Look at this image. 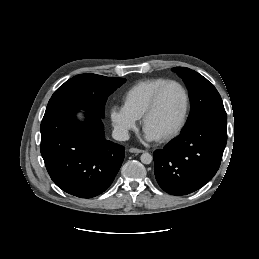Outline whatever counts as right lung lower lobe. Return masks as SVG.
<instances>
[{
	"label": "right lung lower lobe",
	"instance_id": "right-lung-lower-lobe-1",
	"mask_svg": "<svg viewBox=\"0 0 259 259\" xmlns=\"http://www.w3.org/2000/svg\"><path fill=\"white\" fill-rule=\"evenodd\" d=\"M77 110L43 118L41 154L54 183L63 191L92 198L113 182L123 162L124 147L105 139L101 118L86 113L76 119Z\"/></svg>",
	"mask_w": 259,
	"mask_h": 259
}]
</instances>
